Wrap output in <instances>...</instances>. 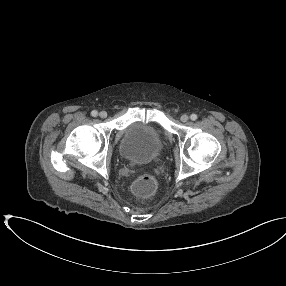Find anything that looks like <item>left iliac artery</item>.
Listing matches in <instances>:
<instances>
[{
  "label": "left iliac artery",
  "instance_id": "1",
  "mask_svg": "<svg viewBox=\"0 0 286 286\" xmlns=\"http://www.w3.org/2000/svg\"><path fill=\"white\" fill-rule=\"evenodd\" d=\"M190 118H191V120L195 121V120L197 119V115H196V114H192V115L190 116Z\"/></svg>",
  "mask_w": 286,
  "mask_h": 286
}]
</instances>
